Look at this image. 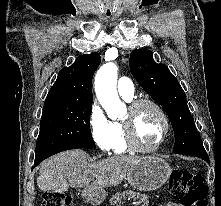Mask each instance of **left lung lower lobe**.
Instances as JSON below:
<instances>
[{
    "instance_id": "1",
    "label": "left lung lower lobe",
    "mask_w": 221,
    "mask_h": 206,
    "mask_svg": "<svg viewBox=\"0 0 221 206\" xmlns=\"http://www.w3.org/2000/svg\"><path fill=\"white\" fill-rule=\"evenodd\" d=\"M191 156H195V155H191ZM195 157L201 158V159H203V160H205L206 162L209 163V158H208L207 155H201V156H195Z\"/></svg>"
}]
</instances>
